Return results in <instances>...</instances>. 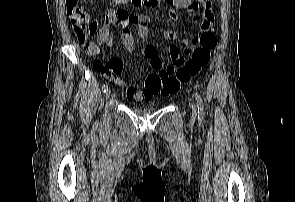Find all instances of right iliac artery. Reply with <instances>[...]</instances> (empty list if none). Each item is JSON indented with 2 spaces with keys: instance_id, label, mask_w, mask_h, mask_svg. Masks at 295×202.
I'll return each mask as SVG.
<instances>
[{
  "instance_id": "1",
  "label": "right iliac artery",
  "mask_w": 295,
  "mask_h": 202,
  "mask_svg": "<svg viewBox=\"0 0 295 202\" xmlns=\"http://www.w3.org/2000/svg\"><path fill=\"white\" fill-rule=\"evenodd\" d=\"M107 90H108V86H107V84H104L102 86V91L105 93Z\"/></svg>"
}]
</instances>
